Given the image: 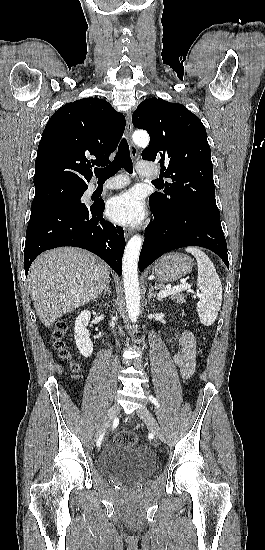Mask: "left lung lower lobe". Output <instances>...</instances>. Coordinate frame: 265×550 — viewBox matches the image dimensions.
<instances>
[{
    "label": "left lung lower lobe",
    "mask_w": 265,
    "mask_h": 550,
    "mask_svg": "<svg viewBox=\"0 0 265 550\" xmlns=\"http://www.w3.org/2000/svg\"><path fill=\"white\" fill-rule=\"evenodd\" d=\"M154 220L146 229L139 257L143 271L162 254L181 247L201 246L216 253L229 268L227 244L220 217L196 209L160 214L151 207Z\"/></svg>",
    "instance_id": "1"
}]
</instances>
